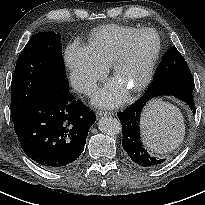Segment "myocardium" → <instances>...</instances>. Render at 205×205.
Returning <instances> with one entry per match:
<instances>
[{"label": "myocardium", "instance_id": "myocardium-1", "mask_svg": "<svg viewBox=\"0 0 205 205\" xmlns=\"http://www.w3.org/2000/svg\"><path fill=\"white\" fill-rule=\"evenodd\" d=\"M144 33L154 34L156 37V40H157V46H156L154 53L152 54V56L149 58L148 62L146 63V66L144 69V74H143L142 78L140 79V81L137 84L133 85L132 87L128 88V90L130 92L142 91L150 83L152 76H153V72H154L156 63H157L159 56H160V53H161V48H162L161 39H160L159 34L153 28H141V29L137 30L135 33H133L132 35H130L127 38V40L124 43L123 48L116 55V57L114 58V60L111 64L112 74L116 78V76L118 75V73L120 71L122 64L131 55V49H132L133 42Z\"/></svg>", "mask_w": 205, "mask_h": 205}]
</instances>
